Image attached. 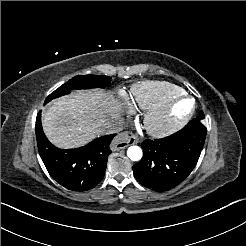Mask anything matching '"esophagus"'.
I'll return each mask as SVG.
<instances>
[{
    "label": "esophagus",
    "mask_w": 246,
    "mask_h": 246,
    "mask_svg": "<svg viewBox=\"0 0 246 246\" xmlns=\"http://www.w3.org/2000/svg\"><path fill=\"white\" fill-rule=\"evenodd\" d=\"M138 138L132 132H124L115 137L111 143V149L113 151H118L125 149L129 145L137 144Z\"/></svg>",
    "instance_id": "obj_1"
}]
</instances>
